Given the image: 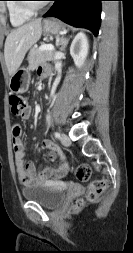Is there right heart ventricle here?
<instances>
[{"label":"right heart ventricle","mask_w":133,"mask_h":253,"mask_svg":"<svg viewBox=\"0 0 133 253\" xmlns=\"http://www.w3.org/2000/svg\"><path fill=\"white\" fill-rule=\"evenodd\" d=\"M7 11L9 15L10 23L15 26H21L29 21L33 13L25 11L18 0H10L7 3Z\"/></svg>","instance_id":"1"}]
</instances>
